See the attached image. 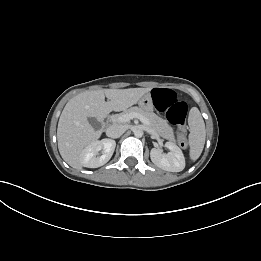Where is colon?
Instances as JSON below:
<instances>
[{
  "mask_svg": "<svg viewBox=\"0 0 261 261\" xmlns=\"http://www.w3.org/2000/svg\"><path fill=\"white\" fill-rule=\"evenodd\" d=\"M155 107L165 112L169 121L179 127L180 146L187 148L185 121L188 114V105L180 100L170 89L156 88L152 92Z\"/></svg>",
  "mask_w": 261,
  "mask_h": 261,
  "instance_id": "colon-1",
  "label": "colon"
}]
</instances>
